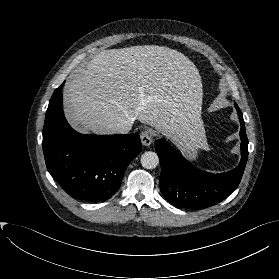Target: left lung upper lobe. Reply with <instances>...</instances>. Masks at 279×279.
Returning a JSON list of instances; mask_svg holds the SVG:
<instances>
[{"label": "left lung upper lobe", "mask_w": 279, "mask_h": 279, "mask_svg": "<svg viewBox=\"0 0 279 279\" xmlns=\"http://www.w3.org/2000/svg\"><path fill=\"white\" fill-rule=\"evenodd\" d=\"M235 107H236V109H237L238 113H239V112H241V111H240V109H239V107L237 106V104H236V103H235Z\"/></svg>", "instance_id": "obj_1"}]
</instances>
